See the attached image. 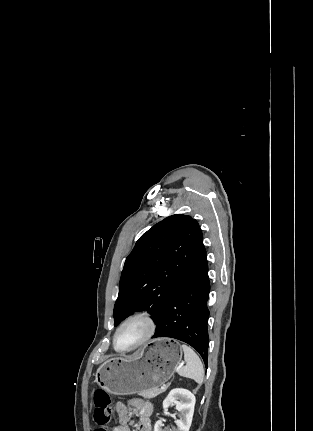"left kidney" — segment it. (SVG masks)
I'll list each match as a JSON object with an SVG mask.
<instances>
[{"mask_svg":"<svg viewBox=\"0 0 313 431\" xmlns=\"http://www.w3.org/2000/svg\"><path fill=\"white\" fill-rule=\"evenodd\" d=\"M195 402L194 394L182 388L171 390L163 401L164 410H166L170 404H174L180 413V418L175 420L177 431H189L194 414ZM162 427V420H158L154 426V431H164Z\"/></svg>","mask_w":313,"mask_h":431,"instance_id":"left-kidney-1","label":"left kidney"}]
</instances>
